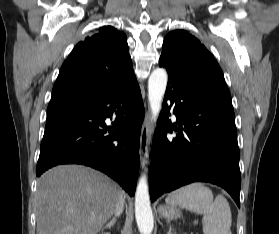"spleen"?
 I'll return each mask as SVG.
<instances>
[{
  "label": "spleen",
  "mask_w": 279,
  "mask_h": 234,
  "mask_svg": "<svg viewBox=\"0 0 279 234\" xmlns=\"http://www.w3.org/2000/svg\"><path fill=\"white\" fill-rule=\"evenodd\" d=\"M166 202L202 214L204 234H232L231 210L226 198L220 194L213 200L212 191L202 183H192L172 192Z\"/></svg>",
  "instance_id": "1"
}]
</instances>
